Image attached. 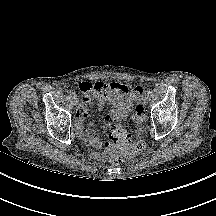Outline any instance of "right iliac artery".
Returning a JSON list of instances; mask_svg holds the SVG:
<instances>
[{
    "mask_svg": "<svg viewBox=\"0 0 216 216\" xmlns=\"http://www.w3.org/2000/svg\"><path fill=\"white\" fill-rule=\"evenodd\" d=\"M69 95H70V97H71V98H75V97H76V94H75V92H70V94H69Z\"/></svg>",
    "mask_w": 216,
    "mask_h": 216,
    "instance_id": "right-iliac-artery-1",
    "label": "right iliac artery"
}]
</instances>
